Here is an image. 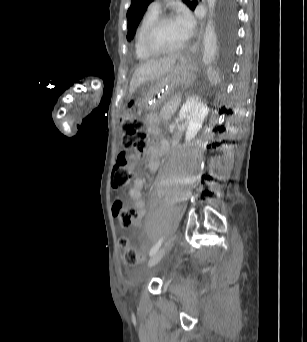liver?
Returning a JSON list of instances; mask_svg holds the SVG:
<instances>
[{"mask_svg":"<svg viewBox=\"0 0 307 342\" xmlns=\"http://www.w3.org/2000/svg\"><path fill=\"white\" fill-rule=\"evenodd\" d=\"M179 54L175 56H169V58H159V60H147L144 64H141L139 68L134 70V74L131 78L129 86V94L132 96L135 90L149 80H158L165 76L167 72H170L172 66H174Z\"/></svg>","mask_w":307,"mask_h":342,"instance_id":"liver-1","label":"liver"}]
</instances>
